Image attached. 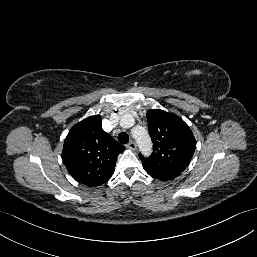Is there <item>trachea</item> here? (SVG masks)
<instances>
[{"label": "trachea", "instance_id": "3493384b", "mask_svg": "<svg viewBox=\"0 0 257 257\" xmlns=\"http://www.w3.org/2000/svg\"><path fill=\"white\" fill-rule=\"evenodd\" d=\"M118 141L121 143V144H127L129 142V135L125 132H121L119 135H118Z\"/></svg>", "mask_w": 257, "mask_h": 257}]
</instances>
